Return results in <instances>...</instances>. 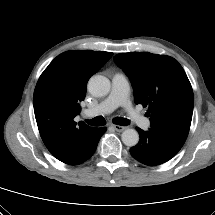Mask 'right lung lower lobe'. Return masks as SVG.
Returning <instances> with one entry per match:
<instances>
[{
	"mask_svg": "<svg viewBox=\"0 0 215 215\" xmlns=\"http://www.w3.org/2000/svg\"><path fill=\"white\" fill-rule=\"evenodd\" d=\"M106 132V128H97L92 139L90 140L87 148L85 149V151L83 152V155L81 156V158L74 164V165H78L81 164L83 162H85L86 160H88L95 152L99 139L101 138V136Z\"/></svg>",
	"mask_w": 215,
	"mask_h": 215,
	"instance_id": "1",
	"label": "right lung lower lobe"
}]
</instances>
